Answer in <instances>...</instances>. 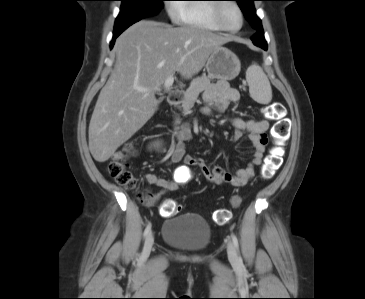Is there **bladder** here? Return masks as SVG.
Returning <instances> with one entry per match:
<instances>
[{"label": "bladder", "instance_id": "bladder-1", "mask_svg": "<svg viewBox=\"0 0 365 299\" xmlns=\"http://www.w3.org/2000/svg\"><path fill=\"white\" fill-rule=\"evenodd\" d=\"M211 238L207 220L198 214H180L166 220L162 228V241L182 252H203L210 245Z\"/></svg>", "mask_w": 365, "mask_h": 299}]
</instances>
